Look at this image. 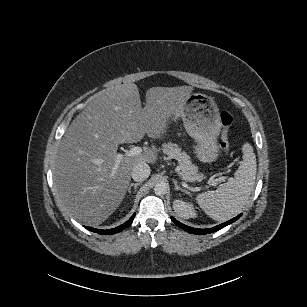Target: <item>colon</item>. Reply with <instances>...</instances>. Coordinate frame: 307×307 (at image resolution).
I'll return each mask as SVG.
<instances>
[{"instance_id":"obj_1","label":"colon","mask_w":307,"mask_h":307,"mask_svg":"<svg viewBox=\"0 0 307 307\" xmlns=\"http://www.w3.org/2000/svg\"><path fill=\"white\" fill-rule=\"evenodd\" d=\"M220 121L222 125L221 136H220V148L223 153H227L229 150V128L232 124L233 117L230 112L223 110L220 113Z\"/></svg>"}]
</instances>
